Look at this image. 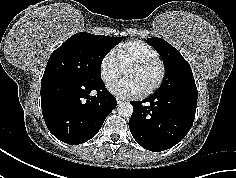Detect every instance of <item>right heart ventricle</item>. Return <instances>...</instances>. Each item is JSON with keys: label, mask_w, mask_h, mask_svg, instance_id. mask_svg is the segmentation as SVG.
<instances>
[{"label": "right heart ventricle", "mask_w": 236, "mask_h": 178, "mask_svg": "<svg viewBox=\"0 0 236 178\" xmlns=\"http://www.w3.org/2000/svg\"><path fill=\"white\" fill-rule=\"evenodd\" d=\"M113 53L123 70L132 61L159 58L158 52L153 47L139 40L122 43Z\"/></svg>", "instance_id": "1"}]
</instances>
